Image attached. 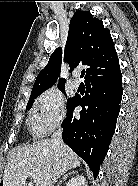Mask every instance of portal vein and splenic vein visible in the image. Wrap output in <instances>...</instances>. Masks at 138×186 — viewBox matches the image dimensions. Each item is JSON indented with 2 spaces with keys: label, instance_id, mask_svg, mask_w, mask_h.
Listing matches in <instances>:
<instances>
[{
  "label": "portal vein and splenic vein",
  "instance_id": "obj_1",
  "mask_svg": "<svg viewBox=\"0 0 138 186\" xmlns=\"http://www.w3.org/2000/svg\"><path fill=\"white\" fill-rule=\"evenodd\" d=\"M27 177H31L35 181L36 186H46L45 183H43V181L38 179L37 175L34 172H29L27 176L23 177L21 180L25 181Z\"/></svg>",
  "mask_w": 138,
  "mask_h": 186
}]
</instances>
